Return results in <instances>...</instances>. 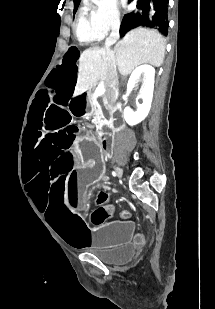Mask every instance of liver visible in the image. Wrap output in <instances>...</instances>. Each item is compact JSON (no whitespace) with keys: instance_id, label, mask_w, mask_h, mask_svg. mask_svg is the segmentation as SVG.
<instances>
[{"instance_id":"6515ba94","label":"liver","mask_w":215,"mask_h":309,"mask_svg":"<svg viewBox=\"0 0 215 309\" xmlns=\"http://www.w3.org/2000/svg\"><path fill=\"white\" fill-rule=\"evenodd\" d=\"M166 48V38L156 28L138 26L118 40L112 52L120 74H130L138 64L161 66ZM108 64L105 48L91 46L80 54L78 78L73 96L93 88L98 80H106Z\"/></svg>"}]
</instances>
